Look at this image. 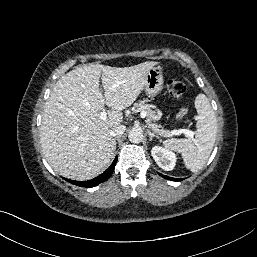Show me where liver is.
<instances>
[{"label":"liver","instance_id":"obj_1","mask_svg":"<svg viewBox=\"0 0 257 257\" xmlns=\"http://www.w3.org/2000/svg\"><path fill=\"white\" fill-rule=\"evenodd\" d=\"M157 64H91L68 72L56 82L45 103L40 142L46 160L57 173L82 181L107 167L115 150L110 132L121 124V111L137 99L149 70ZM100 77L104 94L99 89ZM105 104L113 111L102 120L99 114Z\"/></svg>","mask_w":257,"mask_h":257}]
</instances>
